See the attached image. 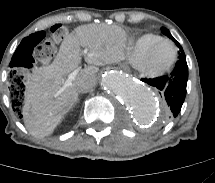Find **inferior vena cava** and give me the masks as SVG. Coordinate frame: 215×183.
Segmentation results:
<instances>
[{"instance_id":"obj_1","label":"inferior vena cava","mask_w":215,"mask_h":183,"mask_svg":"<svg viewBox=\"0 0 215 183\" xmlns=\"http://www.w3.org/2000/svg\"><path fill=\"white\" fill-rule=\"evenodd\" d=\"M95 83L91 81H81L77 86V91L79 93H87L93 90Z\"/></svg>"}]
</instances>
